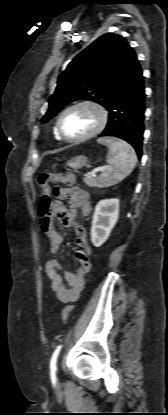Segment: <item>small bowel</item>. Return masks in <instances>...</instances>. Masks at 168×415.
Masks as SVG:
<instances>
[{
    "mask_svg": "<svg viewBox=\"0 0 168 415\" xmlns=\"http://www.w3.org/2000/svg\"><path fill=\"white\" fill-rule=\"evenodd\" d=\"M53 196L58 200L53 202L56 210V218L65 226L74 228L78 250L76 257L79 267L75 273L64 270L58 259L47 261L45 270L51 281V288L57 298L64 303H71L78 299L85 283V276L89 272L91 263L89 256L92 253V247L88 241L87 232L84 227L75 223V217L78 211L87 216L91 211V202L87 193L79 187H56L53 189ZM62 201H67L65 207ZM41 222V221H40ZM41 228L50 241V252L55 254L60 250L62 237L54 228L53 222L49 227H44L41 222Z\"/></svg>",
    "mask_w": 168,
    "mask_h": 415,
    "instance_id": "small-bowel-1",
    "label": "small bowel"
}]
</instances>
